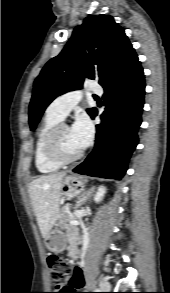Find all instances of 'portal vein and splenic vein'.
I'll return each instance as SVG.
<instances>
[{
	"mask_svg": "<svg viewBox=\"0 0 170 293\" xmlns=\"http://www.w3.org/2000/svg\"><path fill=\"white\" fill-rule=\"evenodd\" d=\"M69 223L71 225H77L78 224V221L77 220H70Z\"/></svg>",
	"mask_w": 170,
	"mask_h": 293,
	"instance_id": "18ae733b",
	"label": "portal vein and splenic vein"
}]
</instances>
